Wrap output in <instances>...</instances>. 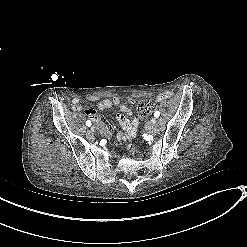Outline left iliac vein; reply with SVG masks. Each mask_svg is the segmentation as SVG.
I'll list each match as a JSON object with an SVG mask.
<instances>
[{
  "label": "left iliac vein",
  "mask_w": 247,
  "mask_h": 247,
  "mask_svg": "<svg viewBox=\"0 0 247 247\" xmlns=\"http://www.w3.org/2000/svg\"><path fill=\"white\" fill-rule=\"evenodd\" d=\"M155 124H156V118L153 117V118L151 119V125L154 126Z\"/></svg>",
  "instance_id": "left-iliac-vein-1"
}]
</instances>
